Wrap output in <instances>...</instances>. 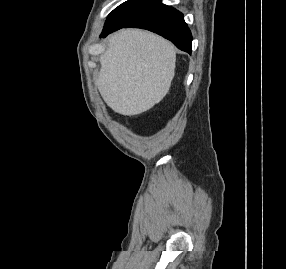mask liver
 Listing matches in <instances>:
<instances>
[{"label": "liver", "instance_id": "liver-1", "mask_svg": "<svg viewBox=\"0 0 286 269\" xmlns=\"http://www.w3.org/2000/svg\"><path fill=\"white\" fill-rule=\"evenodd\" d=\"M175 61L169 41L148 31L123 29L108 39L96 85L116 113L139 115L166 96Z\"/></svg>", "mask_w": 286, "mask_h": 269}]
</instances>
